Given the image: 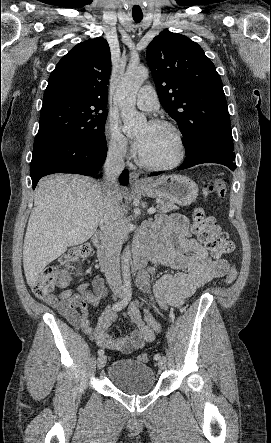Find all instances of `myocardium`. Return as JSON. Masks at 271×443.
<instances>
[{
    "label": "myocardium",
    "instance_id": "obj_1",
    "mask_svg": "<svg viewBox=\"0 0 271 443\" xmlns=\"http://www.w3.org/2000/svg\"><path fill=\"white\" fill-rule=\"evenodd\" d=\"M149 124L153 125V126L168 127L171 130H173L176 137H177V140H178L179 152H178L177 157L173 161L166 163V164H157V163L149 162L139 153L138 158H139L140 164L144 168H147V169L153 170V171H166V170H170V169H173V168L179 166L185 160L186 153H187L186 141H185V137H184L182 130L175 123L168 121V120H163V119L152 120Z\"/></svg>",
    "mask_w": 271,
    "mask_h": 443
}]
</instances>
